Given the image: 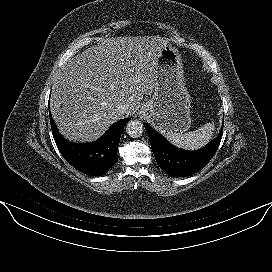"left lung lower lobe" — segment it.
I'll return each mask as SVG.
<instances>
[{
	"label": "left lung lower lobe",
	"instance_id": "1",
	"mask_svg": "<svg viewBox=\"0 0 272 272\" xmlns=\"http://www.w3.org/2000/svg\"><path fill=\"white\" fill-rule=\"evenodd\" d=\"M144 126L157 164L172 177H186L202 170L215 155L223 132L222 126L218 137L205 148L198 151H186L171 145L149 125Z\"/></svg>",
	"mask_w": 272,
	"mask_h": 272
}]
</instances>
